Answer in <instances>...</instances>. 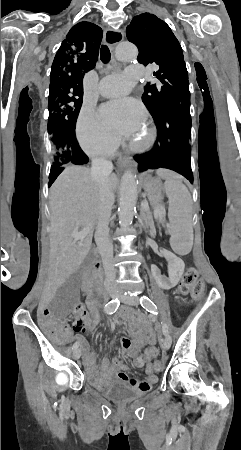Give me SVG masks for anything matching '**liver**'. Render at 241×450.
Wrapping results in <instances>:
<instances>
[{
  "instance_id": "obj_1",
  "label": "liver",
  "mask_w": 241,
  "mask_h": 450,
  "mask_svg": "<svg viewBox=\"0 0 241 450\" xmlns=\"http://www.w3.org/2000/svg\"><path fill=\"white\" fill-rule=\"evenodd\" d=\"M90 174V168L67 166L50 188L49 268L43 292L47 300L78 270L91 248L93 230L99 222L100 194ZM178 178L181 180V176ZM108 180L114 198L119 180L116 174ZM84 228L90 230L86 238H72L73 232Z\"/></svg>"
}]
</instances>
